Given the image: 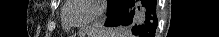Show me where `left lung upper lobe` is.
<instances>
[{
    "label": "left lung upper lobe",
    "mask_w": 219,
    "mask_h": 37,
    "mask_svg": "<svg viewBox=\"0 0 219 37\" xmlns=\"http://www.w3.org/2000/svg\"><path fill=\"white\" fill-rule=\"evenodd\" d=\"M118 0H108L107 15L109 16Z\"/></svg>",
    "instance_id": "left-lung-upper-lobe-1"
}]
</instances>
